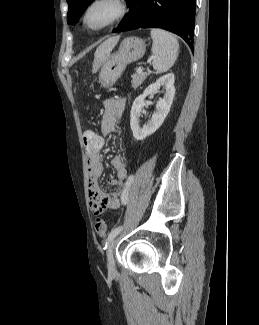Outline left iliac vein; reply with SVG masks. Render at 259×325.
<instances>
[{
  "label": "left iliac vein",
  "mask_w": 259,
  "mask_h": 325,
  "mask_svg": "<svg viewBox=\"0 0 259 325\" xmlns=\"http://www.w3.org/2000/svg\"><path fill=\"white\" fill-rule=\"evenodd\" d=\"M116 239H112L108 248H107V267L109 275L115 277L117 274L115 261H114V247Z\"/></svg>",
  "instance_id": "obj_1"
}]
</instances>
